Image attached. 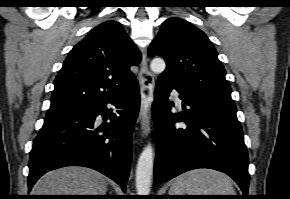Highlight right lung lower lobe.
Segmentation results:
<instances>
[{"instance_id":"obj_1","label":"right lung lower lobe","mask_w":290,"mask_h":199,"mask_svg":"<svg viewBox=\"0 0 290 199\" xmlns=\"http://www.w3.org/2000/svg\"><path fill=\"white\" fill-rule=\"evenodd\" d=\"M108 103L116 106L115 113L106 108ZM139 104V87L135 81L120 94L92 106L46 116L30 153L29 189L50 170L84 166L113 179L125 192ZM98 115L111 121L98 125Z\"/></svg>"}]
</instances>
